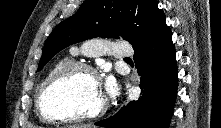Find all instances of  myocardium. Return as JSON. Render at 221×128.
Here are the masks:
<instances>
[{
  "label": "myocardium",
  "mask_w": 221,
  "mask_h": 128,
  "mask_svg": "<svg viewBox=\"0 0 221 128\" xmlns=\"http://www.w3.org/2000/svg\"><path fill=\"white\" fill-rule=\"evenodd\" d=\"M86 72L92 75L99 83H100V76L98 71L93 68L91 65L84 63V62H70L60 70L52 74L49 78H47L42 85L40 86L36 98V110L37 114L40 119L48 122H74L80 120H91L102 116L107 110V100L104 97L101 105L95 110H87L78 114H68V115H61V114H54L48 112L45 109V99L47 96L48 91L57 83L65 80L66 78L70 77L76 72Z\"/></svg>",
  "instance_id": "f54148a6"
}]
</instances>
